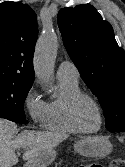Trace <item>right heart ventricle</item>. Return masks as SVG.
Listing matches in <instances>:
<instances>
[{"label":"right heart ventricle","instance_id":"1","mask_svg":"<svg viewBox=\"0 0 125 167\" xmlns=\"http://www.w3.org/2000/svg\"><path fill=\"white\" fill-rule=\"evenodd\" d=\"M60 85V95L47 103L46 115L42 127L45 130L64 134H74L78 131L71 124L67 107L71 97L80 93L78 81L58 79Z\"/></svg>","mask_w":125,"mask_h":167}]
</instances>
